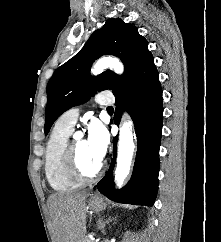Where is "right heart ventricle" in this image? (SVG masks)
<instances>
[{"mask_svg":"<svg viewBox=\"0 0 221 242\" xmlns=\"http://www.w3.org/2000/svg\"><path fill=\"white\" fill-rule=\"evenodd\" d=\"M70 131L54 126L44 153V172L50 187L57 192L79 188L82 182L75 180L66 167L67 140Z\"/></svg>","mask_w":221,"mask_h":242,"instance_id":"1","label":"right heart ventricle"}]
</instances>
